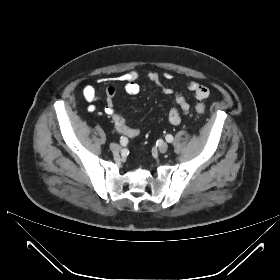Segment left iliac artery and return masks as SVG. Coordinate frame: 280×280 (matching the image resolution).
Returning <instances> with one entry per match:
<instances>
[{
	"label": "left iliac artery",
	"mask_w": 280,
	"mask_h": 280,
	"mask_svg": "<svg viewBox=\"0 0 280 280\" xmlns=\"http://www.w3.org/2000/svg\"><path fill=\"white\" fill-rule=\"evenodd\" d=\"M165 139H166V141H167L168 143H171V142L173 141V136L170 135V134H168V135L165 137Z\"/></svg>",
	"instance_id": "left-iliac-artery-1"
}]
</instances>
